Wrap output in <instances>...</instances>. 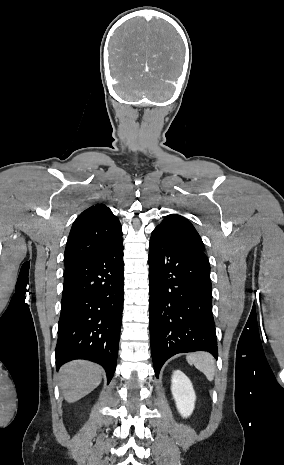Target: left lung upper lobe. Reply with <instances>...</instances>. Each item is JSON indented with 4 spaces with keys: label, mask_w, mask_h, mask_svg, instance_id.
Listing matches in <instances>:
<instances>
[{
    "label": "left lung upper lobe",
    "mask_w": 284,
    "mask_h": 465,
    "mask_svg": "<svg viewBox=\"0 0 284 465\" xmlns=\"http://www.w3.org/2000/svg\"><path fill=\"white\" fill-rule=\"evenodd\" d=\"M153 232L164 234L185 246L204 251L200 235L189 220L178 214L167 215Z\"/></svg>",
    "instance_id": "left-lung-upper-lobe-1"
}]
</instances>
